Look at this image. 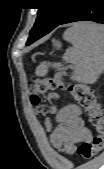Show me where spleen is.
<instances>
[{
	"label": "spleen",
	"instance_id": "3e777b00",
	"mask_svg": "<svg viewBox=\"0 0 104 169\" xmlns=\"http://www.w3.org/2000/svg\"><path fill=\"white\" fill-rule=\"evenodd\" d=\"M64 39L72 44L63 60L74 65L71 75L73 81L93 84L104 70V27L91 22L75 23L64 33ZM51 63H42L36 69V74L43 76ZM60 69L61 64H52Z\"/></svg>",
	"mask_w": 104,
	"mask_h": 169
}]
</instances>
